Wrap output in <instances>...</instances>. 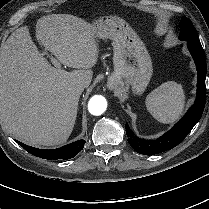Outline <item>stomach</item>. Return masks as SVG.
Here are the masks:
<instances>
[{
	"mask_svg": "<svg viewBox=\"0 0 209 209\" xmlns=\"http://www.w3.org/2000/svg\"><path fill=\"white\" fill-rule=\"evenodd\" d=\"M96 39L113 41L114 72L108 79L110 89H132L141 94L153 74L151 57L139 35L122 18L102 16L92 23Z\"/></svg>",
	"mask_w": 209,
	"mask_h": 209,
	"instance_id": "1",
	"label": "stomach"
}]
</instances>
